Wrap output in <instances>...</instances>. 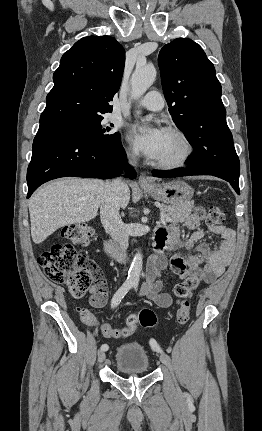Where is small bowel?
Here are the masks:
<instances>
[{
	"label": "small bowel",
	"mask_w": 262,
	"mask_h": 431,
	"mask_svg": "<svg viewBox=\"0 0 262 431\" xmlns=\"http://www.w3.org/2000/svg\"><path fill=\"white\" fill-rule=\"evenodd\" d=\"M204 217L203 210L195 209L183 221L186 228L192 231L186 238L181 236V223H171L167 227H159L156 230V236L161 242L162 248L149 259L146 281L141 290V293L147 295L156 306L168 308L179 303L178 299L163 291L162 272L166 271L169 266L175 274V280L196 276L201 281L210 284L214 283L230 265L234 250L233 230L225 225L209 224L206 229L200 228L201 220ZM206 231L222 237L219 249L211 251L210 247L202 241ZM189 250H194L195 254L183 253V251ZM168 252H172V254L169 255ZM107 299L108 278L103 277L91 287L89 304L93 308H99L105 305ZM84 310L91 316L87 309ZM104 326L109 325H102V327Z\"/></svg>",
	"instance_id": "obj_1"
}]
</instances>
